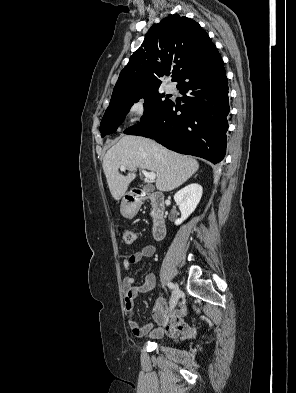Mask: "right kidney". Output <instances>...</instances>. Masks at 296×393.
I'll use <instances>...</instances> for the list:
<instances>
[{"label": "right kidney", "mask_w": 296, "mask_h": 393, "mask_svg": "<svg viewBox=\"0 0 296 393\" xmlns=\"http://www.w3.org/2000/svg\"><path fill=\"white\" fill-rule=\"evenodd\" d=\"M202 193V186L192 183L174 195V200L181 211V218L175 220V225H180L194 212L201 200Z\"/></svg>", "instance_id": "1"}]
</instances>
